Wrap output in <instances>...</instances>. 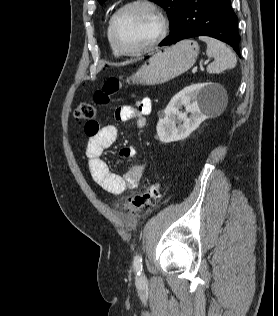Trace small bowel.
<instances>
[{"label": "small bowel", "instance_id": "obj_1", "mask_svg": "<svg viewBox=\"0 0 278 316\" xmlns=\"http://www.w3.org/2000/svg\"><path fill=\"white\" fill-rule=\"evenodd\" d=\"M151 109V100L143 98L134 106L121 105L117 107L115 118L121 122L135 119L137 127L143 129ZM117 137L118 129L114 125L103 126L94 135L89 136L85 149L88 168L93 180L102 189L113 195H120L126 190L137 188L144 169L143 163H136L123 175H118L110 170L108 164L102 159V154L116 141ZM120 155L126 159H133L135 149L131 146L123 147L120 150Z\"/></svg>", "mask_w": 278, "mask_h": 316}]
</instances>
